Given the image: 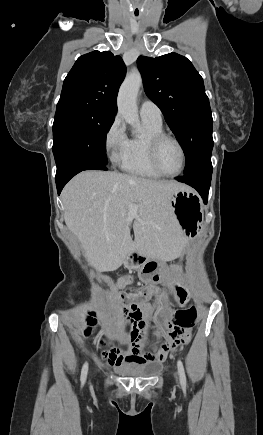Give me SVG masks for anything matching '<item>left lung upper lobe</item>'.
<instances>
[{"mask_svg": "<svg viewBox=\"0 0 263 435\" xmlns=\"http://www.w3.org/2000/svg\"><path fill=\"white\" fill-rule=\"evenodd\" d=\"M137 65L147 96L160 108L184 150L185 173L211 159L213 119L203 79L192 63L169 53L139 56Z\"/></svg>", "mask_w": 263, "mask_h": 435, "instance_id": "obj_1", "label": "left lung upper lobe"}]
</instances>
